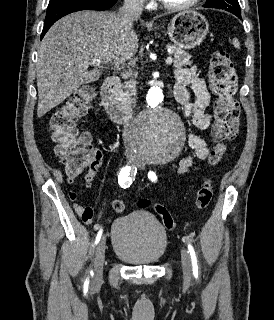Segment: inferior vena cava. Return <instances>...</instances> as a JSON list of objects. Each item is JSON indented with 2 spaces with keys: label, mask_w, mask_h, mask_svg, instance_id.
Returning a JSON list of instances; mask_svg holds the SVG:
<instances>
[{
  "label": "inferior vena cava",
  "mask_w": 274,
  "mask_h": 320,
  "mask_svg": "<svg viewBox=\"0 0 274 320\" xmlns=\"http://www.w3.org/2000/svg\"><path fill=\"white\" fill-rule=\"evenodd\" d=\"M143 4L144 0H124V6L119 8L120 26L126 34L133 32V24L137 18H140L144 8Z\"/></svg>",
  "instance_id": "1"
}]
</instances>
